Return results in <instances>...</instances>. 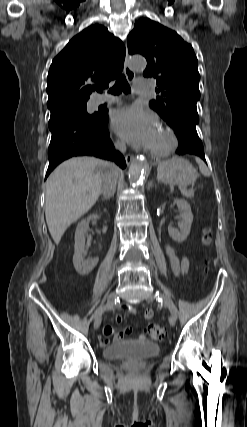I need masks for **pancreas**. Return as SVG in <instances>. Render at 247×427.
<instances>
[{"mask_svg": "<svg viewBox=\"0 0 247 427\" xmlns=\"http://www.w3.org/2000/svg\"><path fill=\"white\" fill-rule=\"evenodd\" d=\"M183 193L185 196L190 197V198L193 196L192 191H188V190L183 189Z\"/></svg>", "mask_w": 247, "mask_h": 427, "instance_id": "1", "label": "pancreas"}]
</instances>
